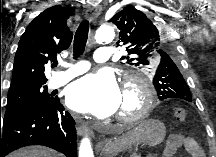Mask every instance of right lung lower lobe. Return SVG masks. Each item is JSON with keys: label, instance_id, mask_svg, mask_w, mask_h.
<instances>
[{"label": "right lung lower lobe", "instance_id": "1", "mask_svg": "<svg viewBox=\"0 0 216 157\" xmlns=\"http://www.w3.org/2000/svg\"><path fill=\"white\" fill-rule=\"evenodd\" d=\"M75 121L55 99L53 104L0 120V157L28 145H44L77 157Z\"/></svg>", "mask_w": 216, "mask_h": 157}]
</instances>
